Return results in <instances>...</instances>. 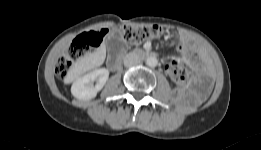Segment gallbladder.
<instances>
[{"label":"gallbladder","instance_id":"1","mask_svg":"<svg viewBox=\"0 0 261 150\" xmlns=\"http://www.w3.org/2000/svg\"><path fill=\"white\" fill-rule=\"evenodd\" d=\"M107 48L110 53L118 54L126 48V44L119 35L114 34L108 37Z\"/></svg>","mask_w":261,"mask_h":150}]
</instances>
